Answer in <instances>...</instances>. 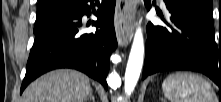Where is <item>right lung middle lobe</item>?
Masks as SVG:
<instances>
[{"mask_svg": "<svg viewBox=\"0 0 221 102\" xmlns=\"http://www.w3.org/2000/svg\"><path fill=\"white\" fill-rule=\"evenodd\" d=\"M76 5V0H57L52 5L37 8V17L34 32L43 28L57 17L71 11Z\"/></svg>", "mask_w": 221, "mask_h": 102, "instance_id": "dd1d6c3e", "label": "right lung middle lobe"}]
</instances>
